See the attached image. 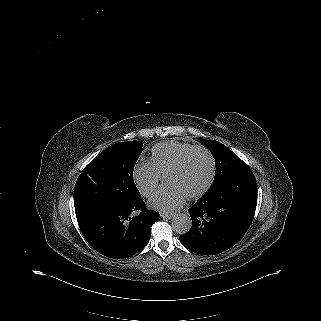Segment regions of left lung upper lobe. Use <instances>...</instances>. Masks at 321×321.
Instances as JSON below:
<instances>
[{"instance_id":"obj_1","label":"left lung upper lobe","mask_w":321,"mask_h":321,"mask_svg":"<svg viewBox=\"0 0 321 321\" xmlns=\"http://www.w3.org/2000/svg\"><path fill=\"white\" fill-rule=\"evenodd\" d=\"M201 143L215 158L216 172L209 190L218 187L235 174L251 171L244 161L222 143L214 140H202Z\"/></svg>"}]
</instances>
